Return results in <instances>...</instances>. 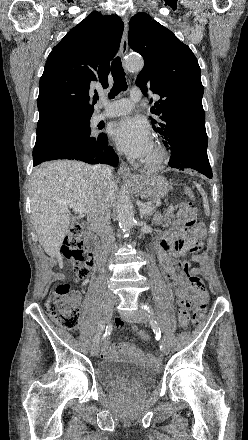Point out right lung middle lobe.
I'll return each instance as SVG.
<instances>
[{
  "instance_id": "dd1d6c3e",
  "label": "right lung middle lobe",
  "mask_w": 248,
  "mask_h": 440,
  "mask_svg": "<svg viewBox=\"0 0 248 440\" xmlns=\"http://www.w3.org/2000/svg\"><path fill=\"white\" fill-rule=\"evenodd\" d=\"M82 131H83V132L91 133V129H90V126L88 125V123H86V125H83V127H82ZM42 132H44V131H38V130H37V134H40V133H42Z\"/></svg>"
}]
</instances>
